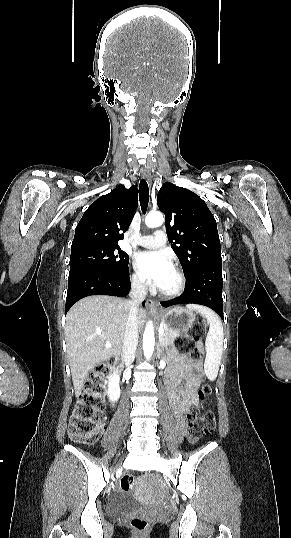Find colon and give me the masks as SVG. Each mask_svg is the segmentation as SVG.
Segmentation results:
<instances>
[{
    "label": "colon",
    "instance_id": "1",
    "mask_svg": "<svg viewBox=\"0 0 291 538\" xmlns=\"http://www.w3.org/2000/svg\"><path fill=\"white\" fill-rule=\"evenodd\" d=\"M204 331L205 323L197 322L186 334L175 340V347L192 361L198 362L200 354L195 343ZM114 363L115 359H110L107 363L97 366L86 379L70 418L69 436L72 440L93 443L100 436L104 410V382L110 376ZM210 393L211 388L208 384L203 383L200 385L198 396L201 401ZM186 425L191 435L199 438L210 433L215 428V416L211 411L200 414L198 410H192L186 416ZM132 485L133 476L125 474L121 478L122 490L129 491ZM130 524L139 538L144 537L148 532L149 523L144 517L135 516L131 519Z\"/></svg>",
    "mask_w": 291,
    "mask_h": 538
}]
</instances>
